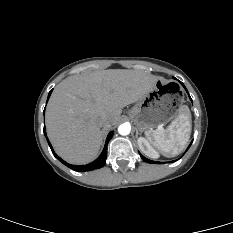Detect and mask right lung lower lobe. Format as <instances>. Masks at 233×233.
I'll list each match as a JSON object with an SVG mask.
<instances>
[{
	"instance_id": "right-lung-lower-lobe-1",
	"label": "right lung lower lobe",
	"mask_w": 233,
	"mask_h": 233,
	"mask_svg": "<svg viewBox=\"0 0 233 233\" xmlns=\"http://www.w3.org/2000/svg\"><path fill=\"white\" fill-rule=\"evenodd\" d=\"M52 90L49 92V95H48V99L50 97V94H51ZM45 111V109H44ZM44 135L48 141V144L52 150V153L53 155L59 160L61 161L64 165H66L67 167L75 170V171H81V172H85V171H91V170H94V169H99L101 167L104 166L105 162H106V158H107V144L109 142V140L112 138L113 136V132H110L107 136V139H106V143H105V146H104V149L101 153V155L93 162L87 164V165H71L67 162H65L64 160H62L60 157L57 156V154L54 152L48 138H47V135H46V130H45V127H44Z\"/></svg>"
}]
</instances>
